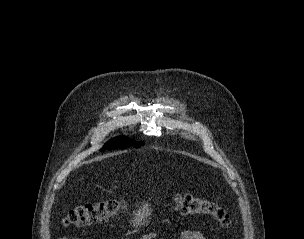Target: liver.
I'll use <instances>...</instances> for the list:
<instances>
[{
	"instance_id": "6515ba94",
	"label": "liver",
	"mask_w": 304,
	"mask_h": 239,
	"mask_svg": "<svg viewBox=\"0 0 304 239\" xmlns=\"http://www.w3.org/2000/svg\"><path fill=\"white\" fill-rule=\"evenodd\" d=\"M152 210L149 208L148 203L143 205V207L139 208L136 212H134V220H132L134 226H141L144 225L145 222H142L151 215ZM148 223V221H147Z\"/></svg>"
}]
</instances>
